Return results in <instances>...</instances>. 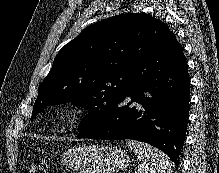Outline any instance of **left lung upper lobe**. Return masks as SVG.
<instances>
[{"mask_svg": "<svg viewBox=\"0 0 219 173\" xmlns=\"http://www.w3.org/2000/svg\"><path fill=\"white\" fill-rule=\"evenodd\" d=\"M171 33L145 13L114 16L85 28L66 44L39 86L31 119L46 106L66 102L90 111L78 136L97 131L132 87V74Z\"/></svg>", "mask_w": 219, "mask_h": 173, "instance_id": "1", "label": "left lung upper lobe"}]
</instances>
